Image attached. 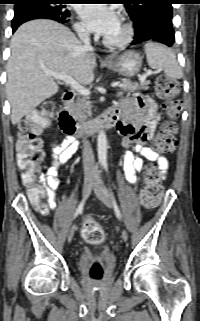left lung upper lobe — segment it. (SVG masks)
Here are the masks:
<instances>
[{
    "mask_svg": "<svg viewBox=\"0 0 200 321\" xmlns=\"http://www.w3.org/2000/svg\"><path fill=\"white\" fill-rule=\"evenodd\" d=\"M174 0H123L126 10L133 22L148 17L161 15L172 19Z\"/></svg>",
    "mask_w": 200,
    "mask_h": 321,
    "instance_id": "obj_1",
    "label": "left lung upper lobe"
}]
</instances>
